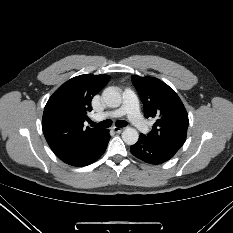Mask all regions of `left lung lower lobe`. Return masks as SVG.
<instances>
[{"label":"left lung lower lobe","mask_w":233,"mask_h":233,"mask_svg":"<svg viewBox=\"0 0 233 233\" xmlns=\"http://www.w3.org/2000/svg\"><path fill=\"white\" fill-rule=\"evenodd\" d=\"M131 153L144 162L161 164L171 159L175 152L151 144L144 136L140 135L136 144L130 147Z\"/></svg>","instance_id":"obj_1"}]
</instances>
